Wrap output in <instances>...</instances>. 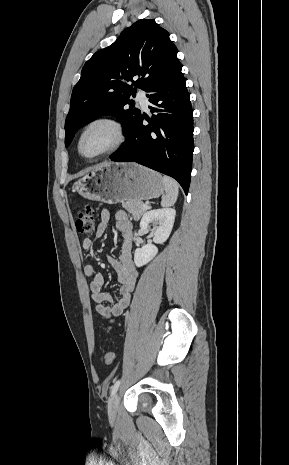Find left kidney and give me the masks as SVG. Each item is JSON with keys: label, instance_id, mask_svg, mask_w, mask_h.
I'll return each instance as SVG.
<instances>
[{"label": "left kidney", "instance_id": "left-kidney-1", "mask_svg": "<svg viewBox=\"0 0 289 465\" xmlns=\"http://www.w3.org/2000/svg\"><path fill=\"white\" fill-rule=\"evenodd\" d=\"M176 211L171 208L150 210L146 212L141 221L140 228L144 231H152L153 242L164 243L173 228ZM153 225V229L150 228ZM158 253V248L153 244H146L137 248L134 253V262L137 267H141L150 262Z\"/></svg>", "mask_w": 289, "mask_h": 465}]
</instances>
